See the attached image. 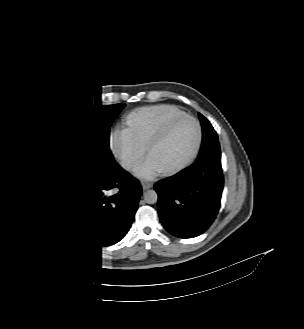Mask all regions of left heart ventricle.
Returning <instances> with one entry per match:
<instances>
[{"label": "left heart ventricle", "mask_w": 304, "mask_h": 329, "mask_svg": "<svg viewBox=\"0 0 304 329\" xmlns=\"http://www.w3.org/2000/svg\"><path fill=\"white\" fill-rule=\"evenodd\" d=\"M198 138L194 121L184 119L170 131L168 137L150 152L148 161L159 171L182 163L192 152Z\"/></svg>", "instance_id": "obj_1"}]
</instances>
